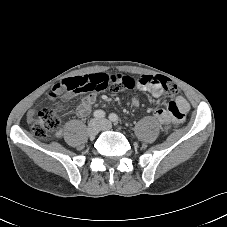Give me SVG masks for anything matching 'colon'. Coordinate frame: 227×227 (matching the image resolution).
Instances as JSON below:
<instances>
[{"instance_id":"colon-1","label":"colon","mask_w":227,"mask_h":227,"mask_svg":"<svg viewBox=\"0 0 227 227\" xmlns=\"http://www.w3.org/2000/svg\"><path fill=\"white\" fill-rule=\"evenodd\" d=\"M138 84H159L170 94L177 93L176 84L164 76H141L140 78H134L128 75L111 74L110 82L107 84V88L117 92L123 89H132ZM57 85H55V87ZM63 107L64 105H60L57 108L47 107L41 109L37 113L36 117L33 119L32 126V132L35 137L45 138L50 132L59 128L64 117L62 113Z\"/></svg>"}]
</instances>
